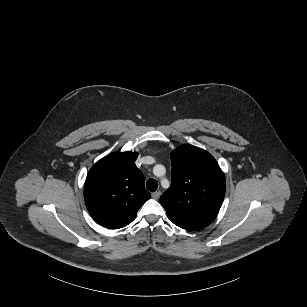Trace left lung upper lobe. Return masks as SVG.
<instances>
[{"label":"left lung upper lobe","mask_w":307,"mask_h":307,"mask_svg":"<svg viewBox=\"0 0 307 307\" xmlns=\"http://www.w3.org/2000/svg\"><path fill=\"white\" fill-rule=\"evenodd\" d=\"M171 186L160 203L175 225L189 230L208 226L225 195V177L207 151L185 144L171 153Z\"/></svg>","instance_id":"obj_1"}]
</instances>
